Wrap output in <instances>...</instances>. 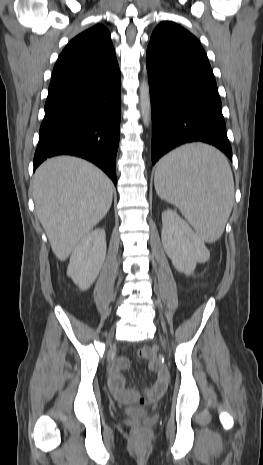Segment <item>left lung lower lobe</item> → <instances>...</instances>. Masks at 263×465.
Returning a JSON list of instances; mask_svg holds the SVG:
<instances>
[{
  "mask_svg": "<svg viewBox=\"0 0 263 465\" xmlns=\"http://www.w3.org/2000/svg\"><path fill=\"white\" fill-rule=\"evenodd\" d=\"M152 108V163L190 142L211 144L232 160L216 81L207 60L147 48Z\"/></svg>",
  "mask_w": 263,
  "mask_h": 465,
  "instance_id": "0a47b994",
  "label": "left lung lower lobe"
}]
</instances>
